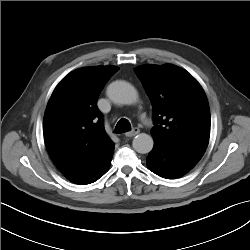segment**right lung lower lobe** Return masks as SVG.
<instances>
[{"label": "right lung lower lobe", "mask_w": 250, "mask_h": 250, "mask_svg": "<svg viewBox=\"0 0 250 250\" xmlns=\"http://www.w3.org/2000/svg\"><path fill=\"white\" fill-rule=\"evenodd\" d=\"M114 152V144L105 150L96 159L81 169L66 175L65 177L73 183L86 185L97 181L109 169Z\"/></svg>", "instance_id": "right-lung-lower-lobe-1"}]
</instances>
